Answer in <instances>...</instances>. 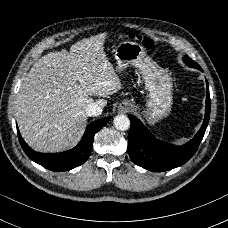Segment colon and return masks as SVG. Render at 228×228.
Masks as SVG:
<instances>
[{
  "mask_svg": "<svg viewBox=\"0 0 228 228\" xmlns=\"http://www.w3.org/2000/svg\"><path fill=\"white\" fill-rule=\"evenodd\" d=\"M135 39L139 41L145 48L150 49L154 46L153 40L149 38H143L141 36H136Z\"/></svg>",
  "mask_w": 228,
  "mask_h": 228,
  "instance_id": "5ec220e1",
  "label": "colon"
}]
</instances>
